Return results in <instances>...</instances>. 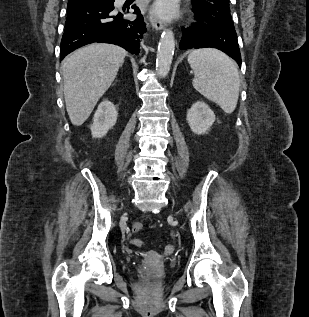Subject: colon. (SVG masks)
Returning <instances> with one entry per match:
<instances>
[{"label":"colon","mask_w":309,"mask_h":317,"mask_svg":"<svg viewBox=\"0 0 309 317\" xmlns=\"http://www.w3.org/2000/svg\"><path fill=\"white\" fill-rule=\"evenodd\" d=\"M142 228H143V224L141 222H135V223H133L131 229L134 233H137V232H140L142 230ZM131 244L133 246L140 247L143 245V241L141 239L135 238V239L131 240ZM172 250H173V248L171 246L166 247L167 252H171Z\"/></svg>","instance_id":"1"}]
</instances>
